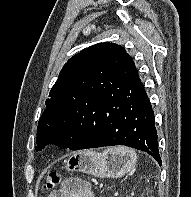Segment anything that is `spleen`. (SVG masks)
Listing matches in <instances>:
<instances>
[{
    "label": "spleen",
    "mask_w": 191,
    "mask_h": 197,
    "mask_svg": "<svg viewBox=\"0 0 191 197\" xmlns=\"http://www.w3.org/2000/svg\"><path fill=\"white\" fill-rule=\"evenodd\" d=\"M115 150L123 155H128L132 161L136 162L137 156L134 150L127 147H117Z\"/></svg>",
    "instance_id": "1"
}]
</instances>
